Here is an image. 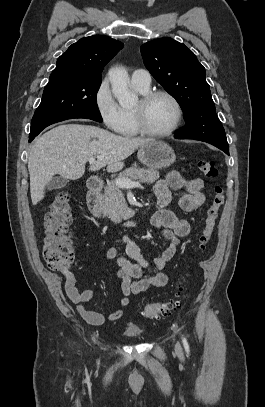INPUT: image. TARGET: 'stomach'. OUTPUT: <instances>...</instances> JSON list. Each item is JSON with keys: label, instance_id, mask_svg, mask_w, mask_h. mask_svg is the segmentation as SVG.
<instances>
[{"label": "stomach", "instance_id": "1", "mask_svg": "<svg viewBox=\"0 0 265 407\" xmlns=\"http://www.w3.org/2000/svg\"><path fill=\"white\" fill-rule=\"evenodd\" d=\"M137 157L149 169L167 168L176 161L173 149L165 142L151 141L141 146Z\"/></svg>", "mask_w": 265, "mask_h": 407}]
</instances>
